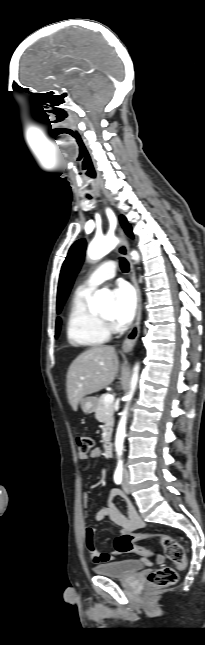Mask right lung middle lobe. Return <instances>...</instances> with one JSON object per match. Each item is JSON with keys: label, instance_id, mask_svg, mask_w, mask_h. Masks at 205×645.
<instances>
[{"label": "right lung middle lobe", "instance_id": "obj_1", "mask_svg": "<svg viewBox=\"0 0 205 645\" xmlns=\"http://www.w3.org/2000/svg\"><path fill=\"white\" fill-rule=\"evenodd\" d=\"M60 331V319L57 320L56 322V334L55 337H58Z\"/></svg>", "mask_w": 205, "mask_h": 645}]
</instances>
